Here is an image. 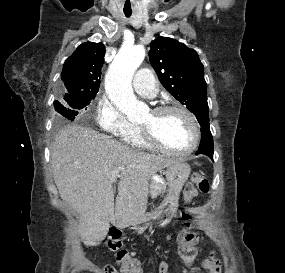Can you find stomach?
Masks as SVG:
<instances>
[{"mask_svg":"<svg viewBox=\"0 0 285 273\" xmlns=\"http://www.w3.org/2000/svg\"><path fill=\"white\" fill-rule=\"evenodd\" d=\"M191 168L188 164L177 161L164 171L168 183V193L161 205L142 220L131 224L136 230L143 232L151 219L159 218L162 221L171 217L173 210L178 206L179 195L183 185L187 182Z\"/></svg>","mask_w":285,"mask_h":273,"instance_id":"1","label":"stomach"}]
</instances>
